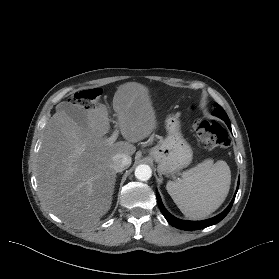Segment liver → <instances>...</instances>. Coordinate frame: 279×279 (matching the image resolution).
I'll return each mask as SVG.
<instances>
[{"label":"liver","mask_w":279,"mask_h":279,"mask_svg":"<svg viewBox=\"0 0 279 279\" xmlns=\"http://www.w3.org/2000/svg\"><path fill=\"white\" fill-rule=\"evenodd\" d=\"M112 105L126 141H107L110 119L104 105L88 109L82 127L58 104L44 132L36 163L39 194L49 211L74 229L94 227L108 212L116 181L112 157L133 155V143L157 125L148 89L140 83L120 85Z\"/></svg>","instance_id":"1"}]
</instances>
